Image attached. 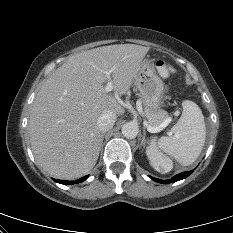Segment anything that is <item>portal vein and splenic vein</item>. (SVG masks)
I'll use <instances>...</instances> for the list:
<instances>
[{"label":"portal vein and splenic vein","mask_w":233,"mask_h":233,"mask_svg":"<svg viewBox=\"0 0 233 233\" xmlns=\"http://www.w3.org/2000/svg\"><path fill=\"white\" fill-rule=\"evenodd\" d=\"M111 72H112V70H108L105 72V74L108 78V83L104 88L105 92H110L113 89V84L111 81ZM165 126H166V124H161L159 127H156V128L152 127V126H147V130L150 133H156V132H160Z\"/></svg>","instance_id":"portal-vein-and-splenic-vein-1"}]
</instances>
